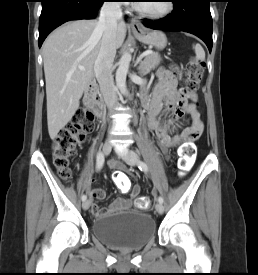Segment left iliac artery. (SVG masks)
<instances>
[{"label":"left iliac artery","instance_id":"left-iliac-artery-1","mask_svg":"<svg viewBox=\"0 0 258 275\" xmlns=\"http://www.w3.org/2000/svg\"><path fill=\"white\" fill-rule=\"evenodd\" d=\"M138 168H139L141 171H143V172H148V166H147L144 162H142V161L139 162ZM158 201H159L160 203H163V201H164V200H163V197L159 196Z\"/></svg>","mask_w":258,"mask_h":275}]
</instances>
